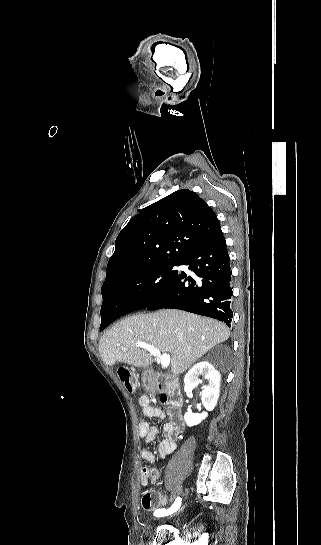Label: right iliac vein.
I'll return each instance as SVG.
<instances>
[{
  "mask_svg": "<svg viewBox=\"0 0 321 545\" xmlns=\"http://www.w3.org/2000/svg\"><path fill=\"white\" fill-rule=\"evenodd\" d=\"M182 493V486L181 485H177L173 494H172V500H174L175 498L178 499V496H180Z\"/></svg>",
  "mask_w": 321,
  "mask_h": 545,
  "instance_id": "1",
  "label": "right iliac vein"
}]
</instances>
